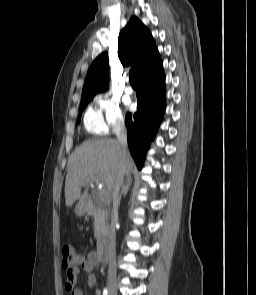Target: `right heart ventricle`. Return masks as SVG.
Instances as JSON below:
<instances>
[{"label":"right heart ventricle","mask_w":256,"mask_h":295,"mask_svg":"<svg viewBox=\"0 0 256 295\" xmlns=\"http://www.w3.org/2000/svg\"><path fill=\"white\" fill-rule=\"evenodd\" d=\"M84 127L90 134L99 135L105 132L98 111L91 106L84 115Z\"/></svg>","instance_id":"e07e8e85"}]
</instances>
